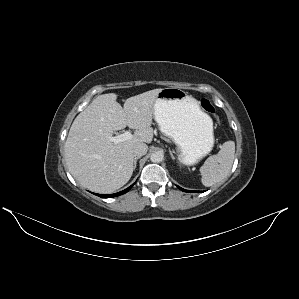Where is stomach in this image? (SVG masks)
Segmentation results:
<instances>
[{
    "mask_svg": "<svg viewBox=\"0 0 299 299\" xmlns=\"http://www.w3.org/2000/svg\"><path fill=\"white\" fill-rule=\"evenodd\" d=\"M154 119L162 134L180 149V160L195 164L214 144L213 122L198 101L176 87L162 89L154 103Z\"/></svg>",
    "mask_w": 299,
    "mask_h": 299,
    "instance_id": "obj_1",
    "label": "stomach"
}]
</instances>
